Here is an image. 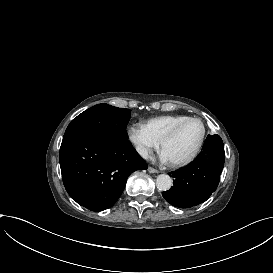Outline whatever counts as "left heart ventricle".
Segmentation results:
<instances>
[{
  "instance_id": "left-heart-ventricle-1",
  "label": "left heart ventricle",
  "mask_w": 273,
  "mask_h": 273,
  "mask_svg": "<svg viewBox=\"0 0 273 273\" xmlns=\"http://www.w3.org/2000/svg\"><path fill=\"white\" fill-rule=\"evenodd\" d=\"M202 132L203 126L197 120L184 125L163 148L169 162L181 161L189 157L196 148Z\"/></svg>"
}]
</instances>
